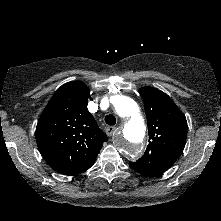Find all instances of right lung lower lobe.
Returning a JSON list of instances; mask_svg holds the SVG:
<instances>
[{
    "label": "right lung lower lobe",
    "instance_id": "1",
    "mask_svg": "<svg viewBox=\"0 0 221 221\" xmlns=\"http://www.w3.org/2000/svg\"><path fill=\"white\" fill-rule=\"evenodd\" d=\"M94 162H95V161H93L91 164H89L87 167H85V168H83V169H80V170H78V171H76V172H73V173L68 174V176L77 175V174H80V173L86 171L87 169H89V168L94 164Z\"/></svg>",
    "mask_w": 221,
    "mask_h": 221
}]
</instances>
